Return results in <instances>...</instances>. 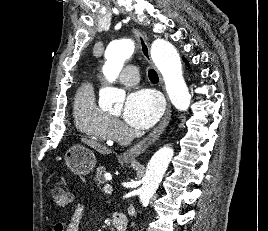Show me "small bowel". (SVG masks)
I'll return each mask as SVG.
<instances>
[{
  "mask_svg": "<svg viewBox=\"0 0 268 231\" xmlns=\"http://www.w3.org/2000/svg\"><path fill=\"white\" fill-rule=\"evenodd\" d=\"M84 210V205L77 204L69 221L58 222L55 225V231H80V225L84 215Z\"/></svg>",
  "mask_w": 268,
  "mask_h": 231,
  "instance_id": "c3829d8e",
  "label": "small bowel"
}]
</instances>
